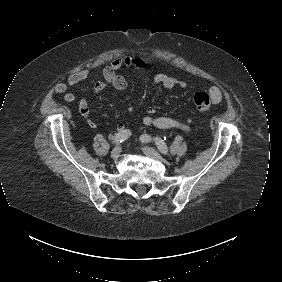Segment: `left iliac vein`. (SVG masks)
Here are the masks:
<instances>
[{"label":"left iliac vein","mask_w":282,"mask_h":282,"mask_svg":"<svg viewBox=\"0 0 282 282\" xmlns=\"http://www.w3.org/2000/svg\"><path fill=\"white\" fill-rule=\"evenodd\" d=\"M142 150H143L145 155H147L148 157H150L154 160H157V161L163 160L162 156L153 148L144 147Z\"/></svg>","instance_id":"left-iliac-vein-1"}]
</instances>
